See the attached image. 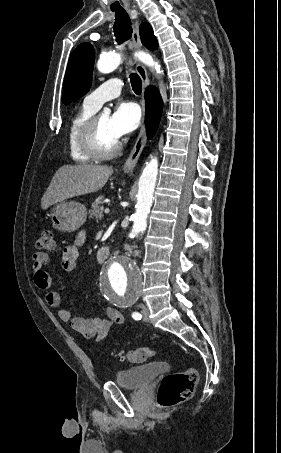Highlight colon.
<instances>
[{
  "label": "colon",
  "instance_id": "colon-1",
  "mask_svg": "<svg viewBox=\"0 0 281 453\" xmlns=\"http://www.w3.org/2000/svg\"><path fill=\"white\" fill-rule=\"evenodd\" d=\"M55 231L44 229L42 236L37 242L38 250H53ZM156 348L126 349L118 351L120 359L130 363H144L157 356ZM197 377V370L193 366H186L180 373L167 374L163 377L159 393L158 405L162 410H167L175 405L190 399L192 385Z\"/></svg>",
  "mask_w": 281,
  "mask_h": 453
}]
</instances>
